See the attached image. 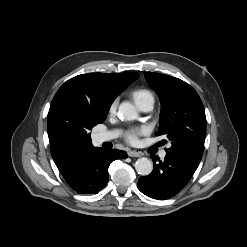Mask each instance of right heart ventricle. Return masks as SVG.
Wrapping results in <instances>:
<instances>
[{
	"label": "right heart ventricle",
	"instance_id": "obj_1",
	"mask_svg": "<svg viewBox=\"0 0 247 247\" xmlns=\"http://www.w3.org/2000/svg\"><path fill=\"white\" fill-rule=\"evenodd\" d=\"M132 97L137 106L145 102H151L152 104L154 102L153 94L149 90L143 88L135 89L132 92Z\"/></svg>",
	"mask_w": 247,
	"mask_h": 247
}]
</instances>
